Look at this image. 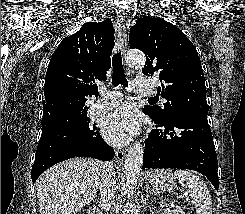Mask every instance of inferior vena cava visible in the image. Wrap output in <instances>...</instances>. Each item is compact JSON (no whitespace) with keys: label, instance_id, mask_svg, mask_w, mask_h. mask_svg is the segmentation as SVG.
Here are the masks:
<instances>
[{"label":"inferior vena cava","instance_id":"602c4592","mask_svg":"<svg viewBox=\"0 0 245 214\" xmlns=\"http://www.w3.org/2000/svg\"><path fill=\"white\" fill-rule=\"evenodd\" d=\"M100 194L102 197V205L105 210L111 209L115 198V172L111 164L105 165V173L100 182Z\"/></svg>","mask_w":245,"mask_h":214}]
</instances>
